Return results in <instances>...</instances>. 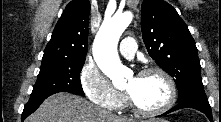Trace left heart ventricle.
I'll list each match as a JSON object with an SVG mask.
<instances>
[{
  "mask_svg": "<svg viewBox=\"0 0 221 122\" xmlns=\"http://www.w3.org/2000/svg\"><path fill=\"white\" fill-rule=\"evenodd\" d=\"M125 91L140 107L145 109L159 108L168 98L167 85L157 74L131 77L125 86Z\"/></svg>",
  "mask_w": 221,
  "mask_h": 122,
  "instance_id": "b2bd125f",
  "label": "left heart ventricle"
}]
</instances>
